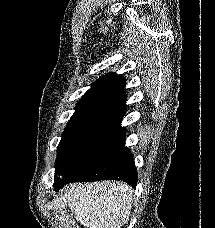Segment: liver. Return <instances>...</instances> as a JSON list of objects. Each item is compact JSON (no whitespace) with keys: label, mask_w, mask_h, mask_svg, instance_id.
Listing matches in <instances>:
<instances>
[{"label":"liver","mask_w":215,"mask_h":228,"mask_svg":"<svg viewBox=\"0 0 215 228\" xmlns=\"http://www.w3.org/2000/svg\"><path fill=\"white\" fill-rule=\"evenodd\" d=\"M61 194L72 216L84 228H122L129 220L133 190L125 182L68 184Z\"/></svg>","instance_id":"obj_1"}]
</instances>
